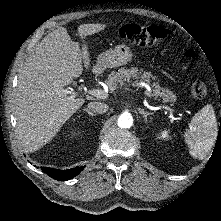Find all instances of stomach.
I'll return each mask as SVG.
<instances>
[{"instance_id":"1","label":"stomach","mask_w":221,"mask_h":221,"mask_svg":"<svg viewBox=\"0 0 221 221\" xmlns=\"http://www.w3.org/2000/svg\"><path fill=\"white\" fill-rule=\"evenodd\" d=\"M132 55V51L127 45L119 44L114 49H109L98 56L93 71L101 73L106 68L125 65L132 58Z\"/></svg>"}]
</instances>
